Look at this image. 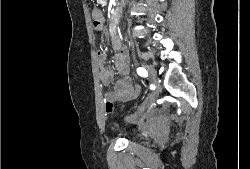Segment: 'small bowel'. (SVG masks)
Masks as SVG:
<instances>
[{
  "label": "small bowel",
  "instance_id": "obj_1",
  "mask_svg": "<svg viewBox=\"0 0 250 169\" xmlns=\"http://www.w3.org/2000/svg\"><path fill=\"white\" fill-rule=\"evenodd\" d=\"M114 47L118 46L113 43ZM115 67L120 74L119 80L109 90L105 98H116V102H127L132 100L139 93V86L135 84L130 76L129 58L123 50L117 51L114 54ZM97 60L101 68V79L103 84L108 85L114 78V72L104 65L106 61V53L98 52Z\"/></svg>",
  "mask_w": 250,
  "mask_h": 169
}]
</instances>
